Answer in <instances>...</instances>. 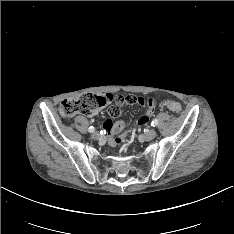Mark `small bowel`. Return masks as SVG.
<instances>
[{
  "label": "small bowel",
  "mask_w": 234,
  "mask_h": 234,
  "mask_svg": "<svg viewBox=\"0 0 234 234\" xmlns=\"http://www.w3.org/2000/svg\"><path fill=\"white\" fill-rule=\"evenodd\" d=\"M115 102H111L109 97L104 99L106 104H109L107 113L112 117V119L117 120L115 122L107 120L104 123V128L109 134V143L111 145H116L122 141L121 132L124 129L125 122L120 119V111L124 104H138L142 106H148L146 114L140 118L139 124H145L148 122L149 118L154 114V107L157 105V101L154 97L134 95L133 93L119 94L114 98ZM150 105V106H149ZM120 119V120H119Z\"/></svg>",
  "instance_id": "small-bowel-1"
}]
</instances>
